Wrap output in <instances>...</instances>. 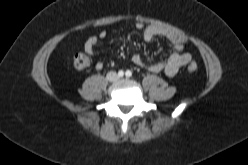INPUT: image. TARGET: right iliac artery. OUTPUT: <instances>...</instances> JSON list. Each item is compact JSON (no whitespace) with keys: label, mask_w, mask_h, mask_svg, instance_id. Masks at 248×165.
Masks as SVG:
<instances>
[{"label":"right iliac artery","mask_w":248,"mask_h":165,"mask_svg":"<svg viewBox=\"0 0 248 165\" xmlns=\"http://www.w3.org/2000/svg\"><path fill=\"white\" fill-rule=\"evenodd\" d=\"M118 75H119L120 77H122V76L124 75V72H123L122 70H120V71L118 72Z\"/></svg>","instance_id":"82829eb1"}]
</instances>
